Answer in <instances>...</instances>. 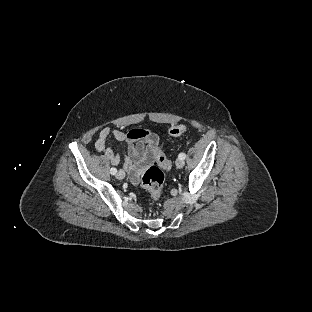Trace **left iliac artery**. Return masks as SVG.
I'll return each instance as SVG.
<instances>
[{
    "instance_id": "1",
    "label": "left iliac artery",
    "mask_w": 312,
    "mask_h": 312,
    "mask_svg": "<svg viewBox=\"0 0 312 312\" xmlns=\"http://www.w3.org/2000/svg\"><path fill=\"white\" fill-rule=\"evenodd\" d=\"M179 158L184 160L186 158V154L185 153H180L179 154Z\"/></svg>"
}]
</instances>
